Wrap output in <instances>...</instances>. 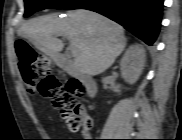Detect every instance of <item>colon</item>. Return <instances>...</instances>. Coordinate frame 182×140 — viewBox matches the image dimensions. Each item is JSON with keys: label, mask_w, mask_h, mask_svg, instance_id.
<instances>
[{"label": "colon", "mask_w": 182, "mask_h": 140, "mask_svg": "<svg viewBox=\"0 0 182 140\" xmlns=\"http://www.w3.org/2000/svg\"><path fill=\"white\" fill-rule=\"evenodd\" d=\"M15 49L28 92L47 98L54 109L61 111L71 130L90 129L92 120L78 102V98L84 93L82 83L77 79L63 81L54 75L50 60L26 40H17Z\"/></svg>", "instance_id": "5ec220e1"}]
</instances>
